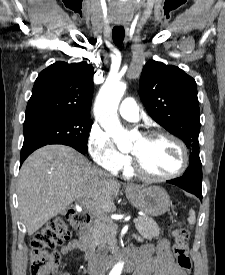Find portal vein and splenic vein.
<instances>
[{
  "label": "portal vein and splenic vein",
  "instance_id": "18ae733b",
  "mask_svg": "<svg viewBox=\"0 0 225 275\" xmlns=\"http://www.w3.org/2000/svg\"><path fill=\"white\" fill-rule=\"evenodd\" d=\"M83 205L87 208V209H91V208H95V206L89 201V199H85L84 201H83ZM141 219H140V217H137V218H135L134 219V223H137V222H139Z\"/></svg>",
  "mask_w": 225,
  "mask_h": 275
}]
</instances>
